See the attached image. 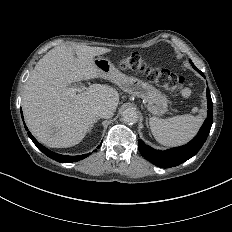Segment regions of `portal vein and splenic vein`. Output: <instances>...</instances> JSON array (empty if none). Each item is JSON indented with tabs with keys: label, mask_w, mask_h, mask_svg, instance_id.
Returning a JSON list of instances; mask_svg holds the SVG:
<instances>
[{
	"label": "portal vein and splenic vein",
	"mask_w": 232,
	"mask_h": 232,
	"mask_svg": "<svg viewBox=\"0 0 232 232\" xmlns=\"http://www.w3.org/2000/svg\"><path fill=\"white\" fill-rule=\"evenodd\" d=\"M83 89V88H82ZM82 89H80L79 87L77 88V87H75V88H69V94L71 95V96H74V95H76V92H82ZM85 89V88H84Z\"/></svg>",
	"instance_id": "1"
}]
</instances>
